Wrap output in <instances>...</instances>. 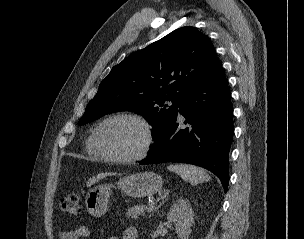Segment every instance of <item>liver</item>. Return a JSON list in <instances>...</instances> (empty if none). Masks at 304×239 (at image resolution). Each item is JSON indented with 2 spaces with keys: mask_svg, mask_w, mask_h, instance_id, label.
Masks as SVG:
<instances>
[{
  "mask_svg": "<svg viewBox=\"0 0 304 239\" xmlns=\"http://www.w3.org/2000/svg\"><path fill=\"white\" fill-rule=\"evenodd\" d=\"M114 174L115 173H111V172L98 174L97 176H94V177L90 178L88 180V182L86 183V186L87 187H91L93 184H95L99 180H101V179H103V178H105L107 176L114 175Z\"/></svg>",
  "mask_w": 304,
  "mask_h": 239,
  "instance_id": "1",
  "label": "liver"
}]
</instances>
